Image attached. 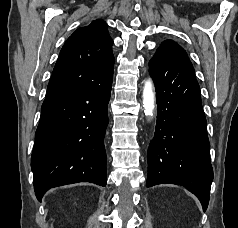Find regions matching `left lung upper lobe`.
<instances>
[{
	"label": "left lung upper lobe",
	"instance_id": "obj_1",
	"mask_svg": "<svg viewBox=\"0 0 238 228\" xmlns=\"http://www.w3.org/2000/svg\"><path fill=\"white\" fill-rule=\"evenodd\" d=\"M158 49L166 50V51L172 53L173 55H177L184 59L189 60L186 52L182 49V47L172 40L163 41Z\"/></svg>",
	"mask_w": 238,
	"mask_h": 228
}]
</instances>
